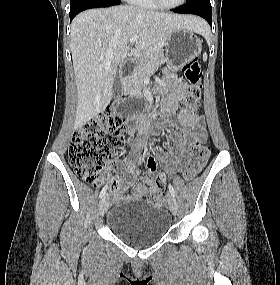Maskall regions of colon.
<instances>
[{
	"label": "colon",
	"instance_id": "1",
	"mask_svg": "<svg viewBox=\"0 0 280 285\" xmlns=\"http://www.w3.org/2000/svg\"><path fill=\"white\" fill-rule=\"evenodd\" d=\"M184 77L189 84L183 106L194 113L202 98V70L197 59H192L184 67ZM125 125L122 118L112 109L98 114L78 127L69 147V163L83 181L98 185L103 180L102 164L114 156L115 150L124 147ZM209 156L205 139L193 141L184 178L194 179L204 168ZM150 203L161 204L165 195L160 192L150 194Z\"/></svg>",
	"mask_w": 280,
	"mask_h": 285
}]
</instances>
